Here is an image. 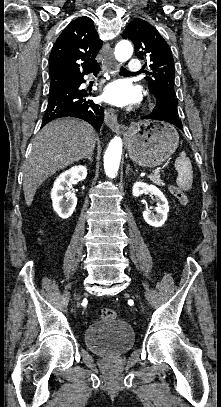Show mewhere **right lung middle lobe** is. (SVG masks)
<instances>
[{"label": "right lung middle lobe", "instance_id": "obj_1", "mask_svg": "<svg viewBox=\"0 0 221 407\" xmlns=\"http://www.w3.org/2000/svg\"><path fill=\"white\" fill-rule=\"evenodd\" d=\"M58 86H59V85H58ZM55 87H57V86H54V87H53L52 84L50 85V89L55 88Z\"/></svg>", "mask_w": 221, "mask_h": 407}]
</instances>
